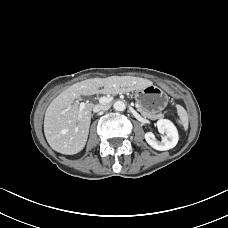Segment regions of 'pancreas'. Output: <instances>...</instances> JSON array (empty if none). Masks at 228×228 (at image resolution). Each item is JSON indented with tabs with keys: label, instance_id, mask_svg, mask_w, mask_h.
<instances>
[{
	"label": "pancreas",
	"instance_id": "1",
	"mask_svg": "<svg viewBox=\"0 0 228 228\" xmlns=\"http://www.w3.org/2000/svg\"><path fill=\"white\" fill-rule=\"evenodd\" d=\"M134 109L139 112L140 114H143L145 116H147L148 118L151 119H158V118H163L164 114L163 113H145V110L141 107H139L138 105L134 106Z\"/></svg>",
	"mask_w": 228,
	"mask_h": 228
}]
</instances>
